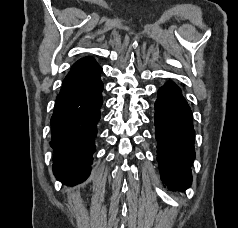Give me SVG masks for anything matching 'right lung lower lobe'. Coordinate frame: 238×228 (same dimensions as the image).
I'll return each mask as SVG.
<instances>
[{
  "instance_id": "obj_1",
  "label": "right lung lower lobe",
  "mask_w": 238,
  "mask_h": 228,
  "mask_svg": "<svg viewBox=\"0 0 238 228\" xmlns=\"http://www.w3.org/2000/svg\"><path fill=\"white\" fill-rule=\"evenodd\" d=\"M103 83L100 74L89 80L63 85L51 118L53 171L67 185L84 181L95 152Z\"/></svg>"
}]
</instances>
